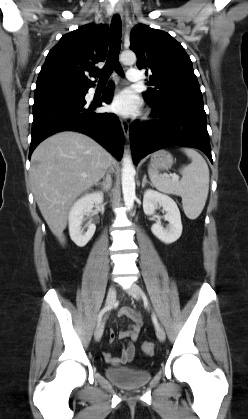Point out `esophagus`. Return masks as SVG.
Returning <instances> with one entry per match:
<instances>
[{
  "label": "esophagus",
  "instance_id": "34e87169",
  "mask_svg": "<svg viewBox=\"0 0 248 419\" xmlns=\"http://www.w3.org/2000/svg\"><path fill=\"white\" fill-rule=\"evenodd\" d=\"M113 12L115 13V14H122V12H123V8H122V6H115L114 7V9H113ZM120 122H121V126H122V129H123V132H124V135H125V137L128 139L129 138V129H130V124H129V122L127 121V120H125V119H121L120 120Z\"/></svg>",
  "mask_w": 248,
  "mask_h": 419
}]
</instances>
